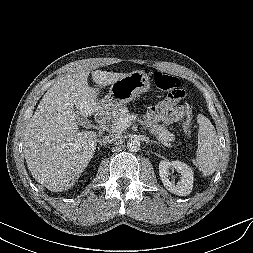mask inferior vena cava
<instances>
[{
	"label": "inferior vena cava",
	"mask_w": 253,
	"mask_h": 253,
	"mask_svg": "<svg viewBox=\"0 0 253 253\" xmlns=\"http://www.w3.org/2000/svg\"><path fill=\"white\" fill-rule=\"evenodd\" d=\"M117 136L116 135H108V136H103L102 138H100L99 140H98V142L100 143V144H107V143H113V142H115L116 140H117Z\"/></svg>",
	"instance_id": "obj_1"
}]
</instances>
